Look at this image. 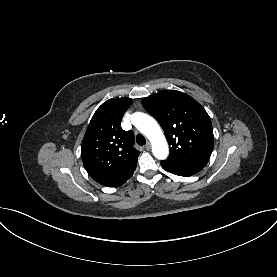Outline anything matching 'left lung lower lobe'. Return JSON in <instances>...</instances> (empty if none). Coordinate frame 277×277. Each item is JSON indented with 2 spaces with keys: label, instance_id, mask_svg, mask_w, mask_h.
I'll list each match as a JSON object with an SVG mask.
<instances>
[{
  "label": "left lung lower lobe",
  "instance_id": "0a47b994",
  "mask_svg": "<svg viewBox=\"0 0 277 277\" xmlns=\"http://www.w3.org/2000/svg\"><path fill=\"white\" fill-rule=\"evenodd\" d=\"M161 166L168 172L175 175L188 177L201 171L204 167L192 165H170L161 162Z\"/></svg>",
  "mask_w": 277,
  "mask_h": 277
}]
</instances>
